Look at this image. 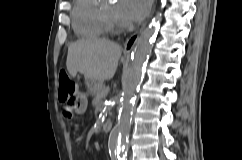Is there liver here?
I'll return each instance as SVG.
<instances>
[{"mask_svg": "<svg viewBox=\"0 0 242 160\" xmlns=\"http://www.w3.org/2000/svg\"><path fill=\"white\" fill-rule=\"evenodd\" d=\"M120 45L103 39H81L68 47L67 70L72 77L79 72L85 79H111L121 57Z\"/></svg>", "mask_w": 242, "mask_h": 160, "instance_id": "6515ba94", "label": "liver"}]
</instances>
